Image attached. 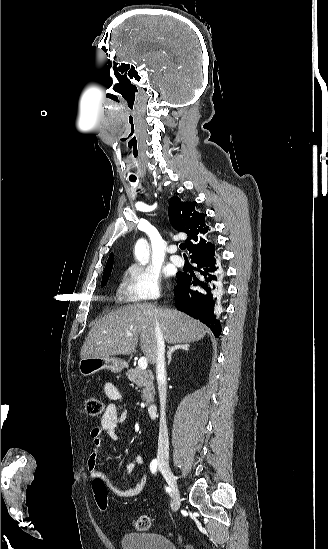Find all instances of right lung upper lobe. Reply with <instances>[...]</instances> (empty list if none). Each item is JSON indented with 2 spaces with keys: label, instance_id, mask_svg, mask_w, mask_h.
Instances as JSON below:
<instances>
[{
  "label": "right lung upper lobe",
  "instance_id": "cb5924a9",
  "mask_svg": "<svg viewBox=\"0 0 328 549\" xmlns=\"http://www.w3.org/2000/svg\"><path fill=\"white\" fill-rule=\"evenodd\" d=\"M196 202H183L177 196L170 199L169 219L173 227L180 232L187 234L186 244L191 258L214 252L215 245L210 241L211 227L206 222V214L195 210ZM199 241V243H193ZM113 267V253L110 254L106 263L104 273ZM104 275V274H103Z\"/></svg>",
  "mask_w": 328,
  "mask_h": 549
}]
</instances>
